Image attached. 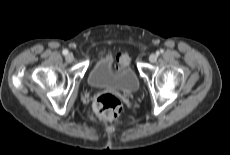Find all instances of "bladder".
Returning a JSON list of instances; mask_svg holds the SVG:
<instances>
[{"label":"bladder","mask_w":230,"mask_h":155,"mask_svg":"<svg viewBox=\"0 0 230 155\" xmlns=\"http://www.w3.org/2000/svg\"><path fill=\"white\" fill-rule=\"evenodd\" d=\"M88 83L94 88H109L124 94L135 93L140 87L135 71L130 67L115 69L114 58L110 54L101 56L93 64Z\"/></svg>","instance_id":"obj_1"}]
</instances>
